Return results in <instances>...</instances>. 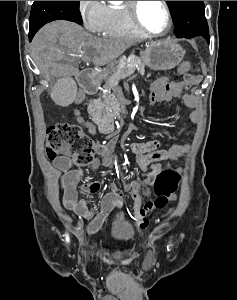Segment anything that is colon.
Listing matches in <instances>:
<instances>
[{"label":"colon","instance_id":"obj_1","mask_svg":"<svg viewBox=\"0 0 237 300\" xmlns=\"http://www.w3.org/2000/svg\"><path fill=\"white\" fill-rule=\"evenodd\" d=\"M191 63L185 61L180 64L178 70L184 75L183 83H167L153 90L149 96L150 105L163 100L180 85L192 83V75L188 72ZM46 155L54 160L60 153H66L73 158L77 167L90 164L94 159L95 143L76 124L58 123L47 128ZM181 181L180 172L174 169H163L155 173L150 182L143 188L145 196H149L148 186L152 185L156 198L150 204L155 208H164L168 200L176 197V190Z\"/></svg>","mask_w":237,"mask_h":300}]
</instances>
